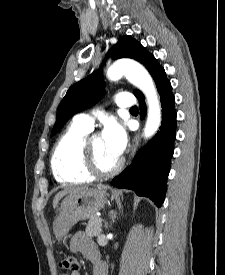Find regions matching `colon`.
Returning a JSON list of instances; mask_svg holds the SVG:
<instances>
[{"label": "colon", "mask_w": 225, "mask_h": 275, "mask_svg": "<svg viewBox=\"0 0 225 275\" xmlns=\"http://www.w3.org/2000/svg\"><path fill=\"white\" fill-rule=\"evenodd\" d=\"M61 266L63 269L76 272L79 270V263L78 260L73 256H68L62 260Z\"/></svg>", "instance_id": "1"}]
</instances>
